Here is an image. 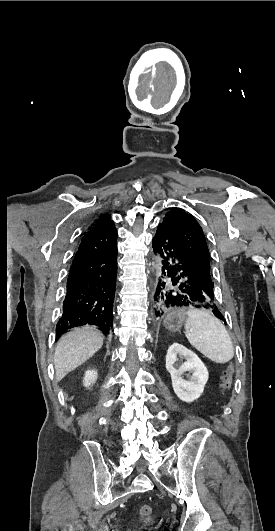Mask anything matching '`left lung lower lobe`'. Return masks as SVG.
<instances>
[{
  "mask_svg": "<svg viewBox=\"0 0 275 531\" xmlns=\"http://www.w3.org/2000/svg\"><path fill=\"white\" fill-rule=\"evenodd\" d=\"M153 249L160 257L161 264V276L154 294L155 317H162L168 310L177 307L201 308L210 311L226 324L214 295L200 286L178 241L164 224L158 225L153 238Z\"/></svg>",
  "mask_w": 275,
  "mask_h": 531,
  "instance_id": "left-lung-lower-lobe-1",
  "label": "left lung lower lobe"
}]
</instances>
